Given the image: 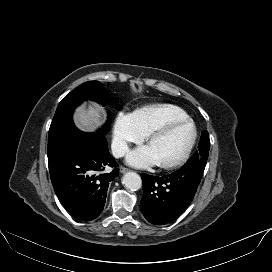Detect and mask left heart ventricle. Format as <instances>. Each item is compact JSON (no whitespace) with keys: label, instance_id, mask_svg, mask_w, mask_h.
<instances>
[{"label":"left heart ventricle","instance_id":"b2bd125f","mask_svg":"<svg viewBox=\"0 0 272 272\" xmlns=\"http://www.w3.org/2000/svg\"><path fill=\"white\" fill-rule=\"evenodd\" d=\"M191 138V127L187 124H180L153 139L148 144V147L153 152L158 163H170L185 152Z\"/></svg>","mask_w":272,"mask_h":272}]
</instances>
